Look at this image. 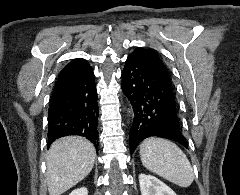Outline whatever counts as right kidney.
<instances>
[{
    "label": "right kidney",
    "instance_id": "obj_1",
    "mask_svg": "<svg viewBox=\"0 0 240 195\" xmlns=\"http://www.w3.org/2000/svg\"><path fill=\"white\" fill-rule=\"evenodd\" d=\"M69 195H88L87 187H78V189H73Z\"/></svg>",
    "mask_w": 240,
    "mask_h": 195
}]
</instances>
